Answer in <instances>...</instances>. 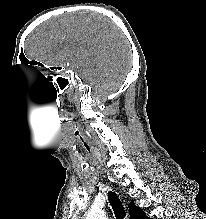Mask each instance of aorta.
I'll use <instances>...</instances> for the list:
<instances>
[{
	"label": "aorta",
	"mask_w": 206,
	"mask_h": 219,
	"mask_svg": "<svg viewBox=\"0 0 206 219\" xmlns=\"http://www.w3.org/2000/svg\"><path fill=\"white\" fill-rule=\"evenodd\" d=\"M87 219H107L103 213H92Z\"/></svg>",
	"instance_id": "762f6f07"
}]
</instances>
